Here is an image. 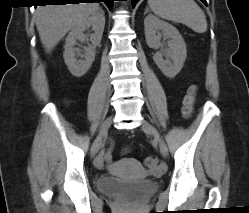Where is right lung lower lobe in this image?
Instances as JSON below:
<instances>
[{
  "label": "right lung lower lobe",
  "mask_w": 249,
  "mask_h": 213,
  "mask_svg": "<svg viewBox=\"0 0 249 213\" xmlns=\"http://www.w3.org/2000/svg\"><path fill=\"white\" fill-rule=\"evenodd\" d=\"M82 1H96V2H104L108 8L111 10L113 7V1L114 0H45V2H49V3H54V4H66V3H79Z\"/></svg>",
  "instance_id": "obj_1"
}]
</instances>
